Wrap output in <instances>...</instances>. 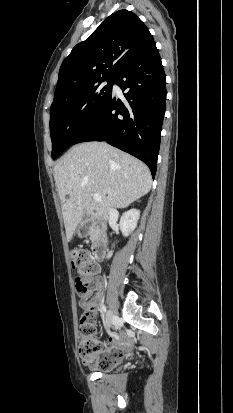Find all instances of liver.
<instances>
[{
    "label": "liver",
    "mask_w": 233,
    "mask_h": 413,
    "mask_svg": "<svg viewBox=\"0 0 233 413\" xmlns=\"http://www.w3.org/2000/svg\"><path fill=\"white\" fill-rule=\"evenodd\" d=\"M54 179L68 241L85 215L97 218L111 207L125 208L152 185L146 164L106 142L73 146L54 166ZM94 193L101 202L93 200Z\"/></svg>",
    "instance_id": "1"
}]
</instances>
